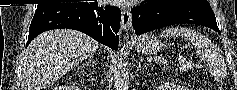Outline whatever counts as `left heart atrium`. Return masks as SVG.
Instances as JSON below:
<instances>
[{
	"instance_id": "1",
	"label": "left heart atrium",
	"mask_w": 237,
	"mask_h": 90,
	"mask_svg": "<svg viewBox=\"0 0 237 90\" xmlns=\"http://www.w3.org/2000/svg\"><path fill=\"white\" fill-rule=\"evenodd\" d=\"M115 7H133L134 3H143L144 0H115Z\"/></svg>"
}]
</instances>
